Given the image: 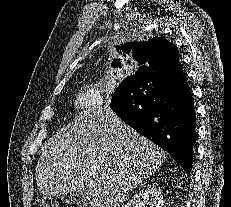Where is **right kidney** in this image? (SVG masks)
<instances>
[{
  "label": "right kidney",
  "instance_id": "obj_1",
  "mask_svg": "<svg viewBox=\"0 0 231 207\" xmlns=\"http://www.w3.org/2000/svg\"><path fill=\"white\" fill-rule=\"evenodd\" d=\"M163 195L153 186H148L144 190L135 194L124 207H163Z\"/></svg>",
  "mask_w": 231,
  "mask_h": 207
}]
</instances>
